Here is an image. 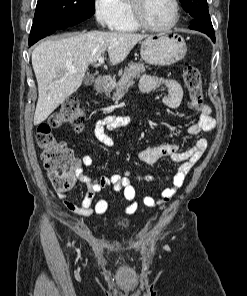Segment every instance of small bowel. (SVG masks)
Masks as SVG:
<instances>
[{"instance_id": "obj_1", "label": "small bowel", "mask_w": 247, "mask_h": 296, "mask_svg": "<svg viewBox=\"0 0 247 296\" xmlns=\"http://www.w3.org/2000/svg\"><path fill=\"white\" fill-rule=\"evenodd\" d=\"M155 89L163 92L162 101L168 108H178L183 101V91L180 84L173 79L161 78L153 75L144 76L138 86V92L149 93ZM133 123L128 116L108 115L99 120L94 129L96 139L107 147L114 146V140L108 132H113L118 128L130 126ZM215 120L212 117V109L210 106L203 104L199 108V115L196 122L188 127V133L191 135H199L204 132L213 130ZM208 147V141L205 138H199L195 145L188 151L179 152L176 144H162L154 147H147L139 151L138 159L146 165H154L158 159L169 156L175 162L180 163L177 171L171 179L172 186L165 188L160 197L144 196L142 203L146 207H157L168 202L175 195L176 190L183 185L186 175L191 168L202 157ZM94 159L90 155H84L81 158L80 166L77 169L76 176L79 182L87 187V192L80 205H76L68 200L67 195L63 191L58 192V197L62 201L65 208L72 214L89 217L92 215H104L108 210V203L104 199H99L94 203V199L106 186H113L116 192L123 194L126 200L125 213L127 215L134 214L138 209L136 198V189L133 185L132 175L129 171L120 174H112L110 176H101L93 178L86 174L83 167L92 166ZM133 178L140 182H157V179L151 175H135Z\"/></svg>"}]
</instances>
